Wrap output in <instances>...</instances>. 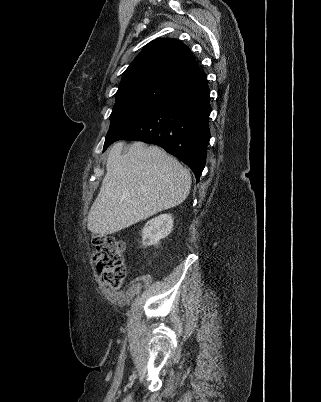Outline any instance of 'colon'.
I'll return each instance as SVG.
<instances>
[{"label":"colon","mask_w":321,"mask_h":402,"mask_svg":"<svg viewBox=\"0 0 321 402\" xmlns=\"http://www.w3.org/2000/svg\"><path fill=\"white\" fill-rule=\"evenodd\" d=\"M92 245L91 256L102 283L110 289L118 290L127 275L123 243L109 235L95 234Z\"/></svg>","instance_id":"obj_1"}]
</instances>
